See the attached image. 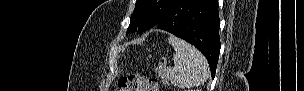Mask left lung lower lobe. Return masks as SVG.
Here are the masks:
<instances>
[{
  "mask_svg": "<svg viewBox=\"0 0 304 91\" xmlns=\"http://www.w3.org/2000/svg\"><path fill=\"white\" fill-rule=\"evenodd\" d=\"M156 26L200 50L214 78L221 47L217 0H175Z\"/></svg>",
  "mask_w": 304,
  "mask_h": 91,
  "instance_id": "obj_1",
  "label": "left lung lower lobe"
}]
</instances>
